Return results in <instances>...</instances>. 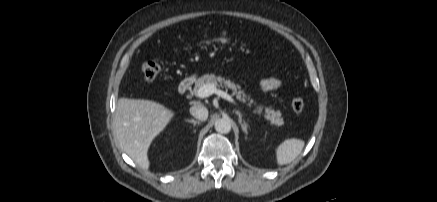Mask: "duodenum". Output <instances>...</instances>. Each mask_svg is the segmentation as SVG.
Instances as JSON below:
<instances>
[{
	"mask_svg": "<svg viewBox=\"0 0 437 202\" xmlns=\"http://www.w3.org/2000/svg\"><path fill=\"white\" fill-rule=\"evenodd\" d=\"M193 84V79L191 77L183 79L179 86H178V92L179 94L183 95L185 94Z\"/></svg>",
	"mask_w": 437,
	"mask_h": 202,
	"instance_id": "410a0bca",
	"label": "duodenum"
}]
</instances>
